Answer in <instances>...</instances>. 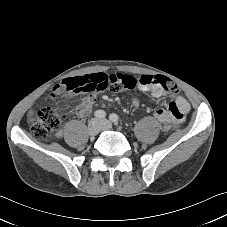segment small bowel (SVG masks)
Instances as JSON below:
<instances>
[{"label": "small bowel", "mask_w": 227, "mask_h": 227, "mask_svg": "<svg viewBox=\"0 0 227 227\" xmlns=\"http://www.w3.org/2000/svg\"><path fill=\"white\" fill-rule=\"evenodd\" d=\"M109 82L110 75L108 73H92L77 77H69L68 79L60 81L56 87L50 90V97L52 99L62 98L63 100H70L77 95V92H89L82 99L76 110L77 116L83 118L88 116L92 111L96 102L95 93L105 92ZM139 89L150 92L151 95L156 98L171 94L160 85L140 84ZM189 110L190 105L188 101L184 97L177 95L174 96V100L169 104L167 109H157L154 114L163 124L164 128L168 130L179 125ZM32 115L33 112H30L28 115L29 119H32Z\"/></svg>", "instance_id": "obj_1"}]
</instances>
